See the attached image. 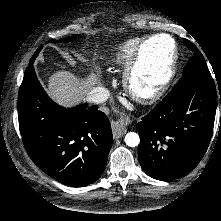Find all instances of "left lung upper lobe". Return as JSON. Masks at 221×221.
<instances>
[{
	"mask_svg": "<svg viewBox=\"0 0 221 221\" xmlns=\"http://www.w3.org/2000/svg\"><path fill=\"white\" fill-rule=\"evenodd\" d=\"M184 44L193 51V57L187 62L183 71V77L179 82L193 77L213 80L206 61L198 48L186 39L184 40Z\"/></svg>",
	"mask_w": 221,
	"mask_h": 221,
	"instance_id": "left-lung-upper-lobe-1",
	"label": "left lung upper lobe"
}]
</instances>
